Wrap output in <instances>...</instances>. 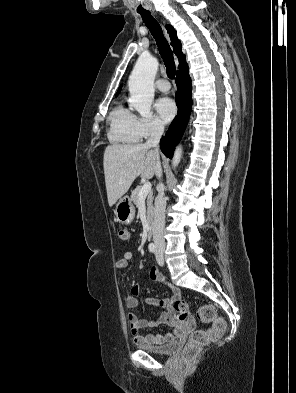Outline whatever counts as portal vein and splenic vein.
I'll use <instances>...</instances> for the list:
<instances>
[{
  "instance_id": "18ae733b",
  "label": "portal vein and splenic vein",
  "mask_w": 296,
  "mask_h": 393,
  "mask_svg": "<svg viewBox=\"0 0 296 393\" xmlns=\"http://www.w3.org/2000/svg\"><path fill=\"white\" fill-rule=\"evenodd\" d=\"M151 183L150 182H146L144 183V185L142 186L140 192H139V197L140 199L144 198L145 196H147L148 193L151 192Z\"/></svg>"
}]
</instances>
